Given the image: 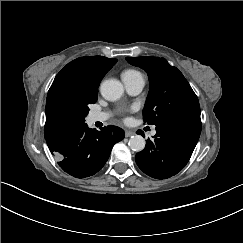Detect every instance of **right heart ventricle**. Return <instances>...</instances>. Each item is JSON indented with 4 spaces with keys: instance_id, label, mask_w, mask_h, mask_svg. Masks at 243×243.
<instances>
[{
    "instance_id": "right-heart-ventricle-1",
    "label": "right heart ventricle",
    "mask_w": 243,
    "mask_h": 243,
    "mask_svg": "<svg viewBox=\"0 0 243 243\" xmlns=\"http://www.w3.org/2000/svg\"><path fill=\"white\" fill-rule=\"evenodd\" d=\"M121 79L124 84H131L144 78L140 71L136 69H127L121 73Z\"/></svg>"
}]
</instances>
